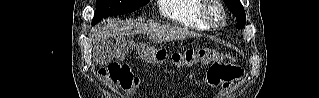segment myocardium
I'll return each instance as SVG.
<instances>
[{
	"mask_svg": "<svg viewBox=\"0 0 319 98\" xmlns=\"http://www.w3.org/2000/svg\"><path fill=\"white\" fill-rule=\"evenodd\" d=\"M202 7V14L210 26H221L225 22V9L218 0H206Z\"/></svg>",
	"mask_w": 319,
	"mask_h": 98,
	"instance_id": "f54148a6",
	"label": "myocardium"
}]
</instances>
